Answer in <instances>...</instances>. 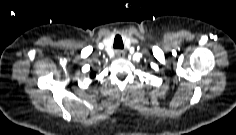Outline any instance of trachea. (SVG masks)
Here are the masks:
<instances>
[{
    "label": "trachea",
    "instance_id": "1",
    "mask_svg": "<svg viewBox=\"0 0 236 135\" xmlns=\"http://www.w3.org/2000/svg\"><path fill=\"white\" fill-rule=\"evenodd\" d=\"M113 47L115 49H123L124 45H123L122 38L120 36L115 37Z\"/></svg>",
    "mask_w": 236,
    "mask_h": 135
}]
</instances>
